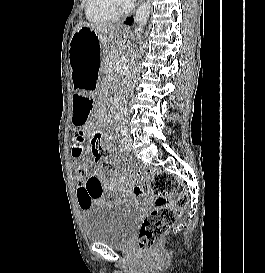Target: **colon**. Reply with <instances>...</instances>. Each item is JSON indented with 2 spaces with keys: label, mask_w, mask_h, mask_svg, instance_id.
Instances as JSON below:
<instances>
[{
  "label": "colon",
  "mask_w": 265,
  "mask_h": 273,
  "mask_svg": "<svg viewBox=\"0 0 265 273\" xmlns=\"http://www.w3.org/2000/svg\"><path fill=\"white\" fill-rule=\"evenodd\" d=\"M90 145L94 160L102 162L107 171L144 179V182L134 189L136 196L142 197L151 192L155 197L154 208L143 220L137 237L140 249H152L173 226L176 218L188 204V197L184 193L182 185L175 176L165 171H154L149 168L138 171L116 169L112 163L106 160L108 153L102 145V136L98 132L93 134Z\"/></svg>",
  "instance_id": "colon-1"
}]
</instances>
